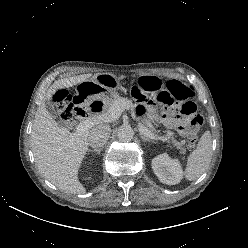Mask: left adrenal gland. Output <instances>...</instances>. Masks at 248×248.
<instances>
[{"label":"left adrenal gland","mask_w":248,"mask_h":248,"mask_svg":"<svg viewBox=\"0 0 248 248\" xmlns=\"http://www.w3.org/2000/svg\"><path fill=\"white\" fill-rule=\"evenodd\" d=\"M140 135V137H141V139H142V141L143 142H154V141H152V140H150L149 138H146L143 134H139Z\"/></svg>","instance_id":"obj_1"}]
</instances>
